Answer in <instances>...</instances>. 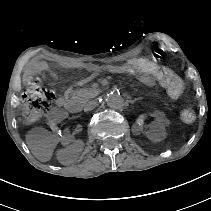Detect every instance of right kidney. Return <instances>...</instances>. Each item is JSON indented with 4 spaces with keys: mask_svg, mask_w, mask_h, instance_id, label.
Instances as JSON below:
<instances>
[{
    "mask_svg": "<svg viewBox=\"0 0 211 211\" xmlns=\"http://www.w3.org/2000/svg\"><path fill=\"white\" fill-rule=\"evenodd\" d=\"M66 118L67 113L60 108H53L47 113L46 122L50 127V131L53 133V137L56 140H61L64 137V132L61 130V126L58 124V120L64 121ZM72 142L73 139L70 136H65L62 139V144L65 147Z\"/></svg>",
    "mask_w": 211,
    "mask_h": 211,
    "instance_id": "1",
    "label": "right kidney"
}]
</instances>
